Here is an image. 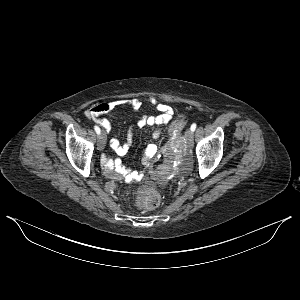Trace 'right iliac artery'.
<instances>
[{
  "mask_svg": "<svg viewBox=\"0 0 300 300\" xmlns=\"http://www.w3.org/2000/svg\"><path fill=\"white\" fill-rule=\"evenodd\" d=\"M94 129H95L96 133L99 135L101 132L100 128L98 126H94Z\"/></svg>",
  "mask_w": 300,
  "mask_h": 300,
  "instance_id": "82829eb1",
  "label": "right iliac artery"
}]
</instances>
